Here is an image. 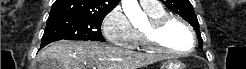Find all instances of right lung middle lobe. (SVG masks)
I'll return each mask as SVG.
<instances>
[{"instance_id":"dd1d6c3e","label":"right lung middle lobe","mask_w":246,"mask_h":69,"mask_svg":"<svg viewBox=\"0 0 246 69\" xmlns=\"http://www.w3.org/2000/svg\"><path fill=\"white\" fill-rule=\"evenodd\" d=\"M105 16H62L48 18L41 43L57 40H106L101 33V23Z\"/></svg>"}]
</instances>
